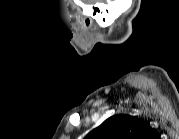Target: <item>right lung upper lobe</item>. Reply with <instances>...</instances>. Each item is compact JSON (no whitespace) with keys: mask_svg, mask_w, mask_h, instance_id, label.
<instances>
[{"mask_svg":"<svg viewBox=\"0 0 179 139\" xmlns=\"http://www.w3.org/2000/svg\"><path fill=\"white\" fill-rule=\"evenodd\" d=\"M156 135L149 124L131 115L119 114L105 120L86 139H147Z\"/></svg>","mask_w":179,"mask_h":139,"instance_id":"cb5924a9","label":"right lung upper lobe"}]
</instances>
